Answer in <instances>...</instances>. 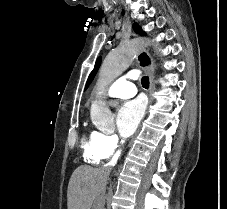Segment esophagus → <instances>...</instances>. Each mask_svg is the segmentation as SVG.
Segmentation results:
<instances>
[{
    "instance_id": "obj_1",
    "label": "esophagus",
    "mask_w": 227,
    "mask_h": 209,
    "mask_svg": "<svg viewBox=\"0 0 227 209\" xmlns=\"http://www.w3.org/2000/svg\"><path fill=\"white\" fill-rule=\"evenodd\" d=\"M136 60L139 67H141L145 73L149 76L150 79V92H153L155 89L154 79H155V67L154 60L146 49H142L136 55ZM153 99L149 96V102Z\"/></svg>"
}]
</instances>
